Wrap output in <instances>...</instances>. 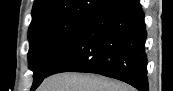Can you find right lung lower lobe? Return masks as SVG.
<instances>
[{"label":"right lung lower lobe","instance_id":"1","mask_svg":"<svg viewBox=\"0 0 173 91\" xmlns=\"http://www.w3.org/2000/svg\"><path fill=\"white\" fill-rule=\"evenodd\" d=\"M146 36L139 0H114L86 21L46 77L65 71L90 72L148 91Z\"/></svg>","mask_w":173,"mask_h":91}]
</instances>
